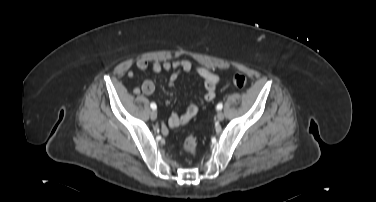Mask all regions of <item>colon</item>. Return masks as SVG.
Returning a JSON list of instances; mask_svg holds the SVG:
<instances>
[{
  "label": "colon",
  "instance_id": "5ec220e1",
  "mask_svg": "<svg viewBox=\"0 0 376 202\" xmlns=\"http://www.w3.org/2000/svg\"><path fill=\"white\" fill-rule=\"evenodd\" d=\"M247 83V79L244 75L242 74H235L233 76V84L237 87V88H243L245 87ZM183 149L191 154V155H195L196 152H197V147H198V142H197V139L195 136H188L184 141H183Z\"/></svg>",
  "mask_w": 376,
  "mask_h": 202
}]
</instances>
